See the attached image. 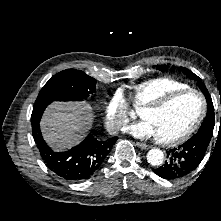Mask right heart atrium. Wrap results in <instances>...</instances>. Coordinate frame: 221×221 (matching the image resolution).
Wrapping results in <instances>:
<instances>
[{
  "label": "right heart atrium",
  "instance_id": "right-heart-atrium-1",
  "mask_svg": "<svg viewBox=\"0 0 221 221\" xmlns=\"http://www.w3.org/2000/svg\"><path fill=\"white\" fill-rule=\"evenodd\" d=\"M104 121L109 132L118 133L129 121V106L124 93L115 91L107 101Z\"/></svg>",
  "mask_w": 221,
  "mask_h": 221
}]
</instances>
